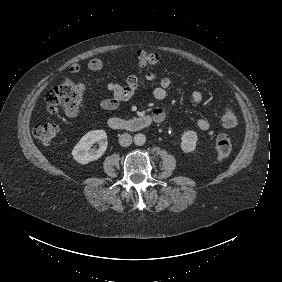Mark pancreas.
<instances>
[{
    "label": "pancreas",
    "instance_id": "1",
    "mask_svg": "<svg viewBox=\"0 0 282 282\" xmlns=\"http://www.w3.org/2000/svg\"><path fill=\"white\" fill-rule=\"evenodd\" d=\"M126 118H127V119H128V118H130V116H129V115H127V116H126Z\"/></svg>",
    "mask_w": 282,
    "mask_h": 282
}]
</instances>
